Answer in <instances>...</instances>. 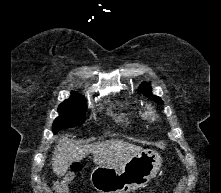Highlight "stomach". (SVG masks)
Returning a JSON list of instances; mask_svg holds the SVG:
<instances>
[{"mask_svg": "<svg viewBox=\"0 0 221 193\" xmlns=\"http://www.w3.org/2000/svg\"><path fill=\"white\" fill-rule=\"evenodd\" d=\"M161 165L162 158L156 151L142 150L121 166L95 167L90 180L100 193H129L147 184Z\"/></svg>", "mask_w": 221, "mask_h": 193, "instance_id": "obj_1", "label": "stomach"}]
</instances>
